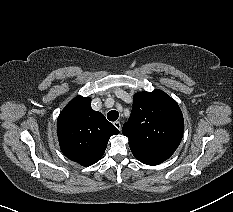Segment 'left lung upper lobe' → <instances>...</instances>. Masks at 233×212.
<instances>
[{"label": "left lung upper lobe", "instance_id": "1", "mask_svg": "<svg viewBox=\"0 0 233 212\" xmlns=\"http://www.w3.org/2000/svg\"><path fill=\"white\" fill-rule=\"evenodd\" d=\"M184 120L178 104L165 92H138L122 133L128 137L133 155L147 165H158L179 146Z\"/></svg>", "mask_w": 233, "mask_h": 212}]
</instances>
